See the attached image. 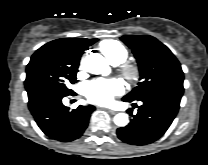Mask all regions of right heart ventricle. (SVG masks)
Masks as SVG:
<instances>
[{
  "label": "right heart ventricle",
  "mask_w": 208,
  "mask_h": 165,
  "mask_svg": "<svg viewBox=\"0 0 208 165\" xmlns=\"http://www.w3.org/2000/svg\"><path fill=\"white\" fill-rule=\"evenodd\" d=\"M100 50L108 61L114 65L124 62L128 56L127 49L116 40H104L100 44Z\"/></svg>",
  "instance_id": "right-heart-ventricle-1"
}]
</instances>
